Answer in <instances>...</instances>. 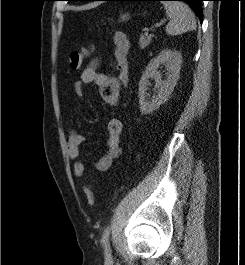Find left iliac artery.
<instances>
[{"instance_id": "left-iliac-artery-1", "label": "left iliac artery", "mask_w": 245, "mask_h": 265, "mask_svg": "<svg viewBox=\"0 0 245 265\" xmlns=\"http://www.w3.org/2000/svg\"><path fill=\"white\" fill-rule=\"evenodd\" d=\"M109 234H110V228L107 227L104 230L103 235H102V239H101V243L104 246V251H105V254L107 256H109L110 252H111L110 245H109Z\"/></svg>"}]
</instances>
